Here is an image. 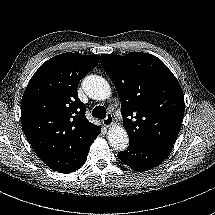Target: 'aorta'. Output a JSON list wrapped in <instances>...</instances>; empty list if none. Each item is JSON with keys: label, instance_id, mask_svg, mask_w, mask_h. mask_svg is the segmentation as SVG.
<instances>
[{"label": "aorta", "instance_id": "obj_1", "mask_svg": "<svg viewBox=\"0 0 215 215\" xmlns=\"http://www.w3.org/2000/svg\"><path fill=\"white\" fill-rule=\"evenodd\" d=\"M84 81H86L88 85V95L93 99L105 100L110 97L111 88L104 78L90 75L86 77ZM108 141L115 150L124 151L129 145V136L124 128L116 126L109 131Z\"/></svg>", "mask_w": 215, "mask_h": 215}]
</instances>
